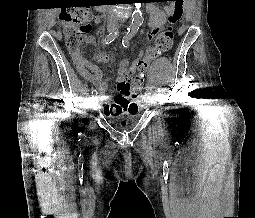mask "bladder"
I'll return each mask as SVG.
<instances>
[{
	"mask_svg": "<svg viewBox=\"0 0 255 218\" xmlns=\"http://www.w3.org/2000/svg\"><path fill=\"white\" fill-rule=\"evenodd\" d=\"M139 115L135 112L111 113L107 115L108 121L119 131L131 129L137 122Z\"/></svg>",
	"mask_w": 255,
	"mask_h": 218,
	"instance_id": "bladder-1",
	"label": "bladder"
}]
</instances>
